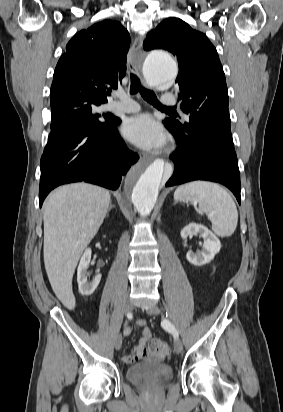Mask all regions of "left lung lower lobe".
<instances>
[{
	"instance_id": "left-lung-lower-lobe-1",
	"label": "left lung lower lobe",
	"mask_w": 283,
	"mask_h": 412,
	"mask_svg": "<svg viewBox=\"0 0 283 412\" xmlns=\"http://www.w3.org/2000/svg\"><path fill=\"white\" fill-rule=\"evenodd\" d=\"M165 126L177 143L176 151L170 156L175 165L174 174L166 186L193 180L218 182L228 187L240 204V172L236 154L210 147L196 131Z\"/></svg>"
}]
</instances>
